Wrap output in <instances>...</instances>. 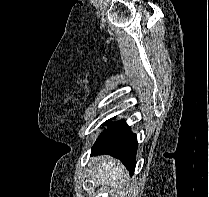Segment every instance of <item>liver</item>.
<instances>
[{
	"instance_id": "liver-1",
	"label": "liver",
	"mask_w": 209,
	"mask_h": 197,
	"mask_svg": "<svg viewBox=\"0 0 209 197\" xmlns=\"http://www.w3.org/2000/svg\"><path fill=\"white\" fill-rule=\"evenodd\" d=\"M125 168L120 162L110 156L96 158L95 179L96 184L111 185L119 188L123 185Z\"/></svg>"
}]
</instances>
